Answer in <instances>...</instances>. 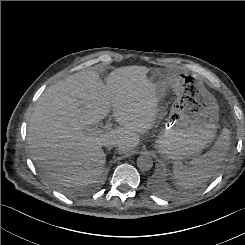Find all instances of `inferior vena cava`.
<instances>
[{
  "instance_id": "1",
  "label": "inferior vena cava",
  "mask_w": 245,
  "mask_h": 245,
  "mask_svg": "<svg viewBox=\"0 0 245 245\" xmlns=\"http://www.w3.org/2000/svg\"><path fill=\"white\" fill-rule=\"evenodd\" d=\"M116 142L115 141H105L103 143V146L107 147L108 149H111L113 146H116Z\"/></svg>"
}]
</instances>
